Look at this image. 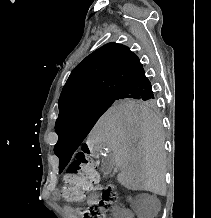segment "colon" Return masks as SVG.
<instances>
[{
  "mask_svg": "<svg viewBox=\"0 0 211 218\" xmlns=\"http://www.w3.org/2000/svg\"><path fill=\"white\" fill-rule=\"evenodd\" d=\"M99 182L97 163L92 157L88 145H84L69 165L60 190L61 197L66 201H81ZM117 198L113 186L105 188L101 198L90 203L78 212V218H105L112 203Z\"/></svg>",
  "mask_w": 211,
  "mask_h": 218,
  "instance_id": "colon-1",
  "label": "colon"
}]
</instances>
